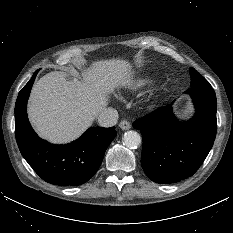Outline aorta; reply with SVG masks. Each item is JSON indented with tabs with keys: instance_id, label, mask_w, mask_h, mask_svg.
<instances>
[{
	"instance_id": "1",
	"label": "aorta",
	"mask_w": 233,
	"mask_h": 233,
	"mask_svg": "<svg viewBox=\"0 0 233 233\" xmlns=\"http://www.w3.org/2000/svg\"><path fill=\"white\" fill-rule=\"evenodd\" d=\"M141 136L136 131H127L123 136V143L126 147L130 149H135L141 144Z\"/></svg>"
}]
</instances>
